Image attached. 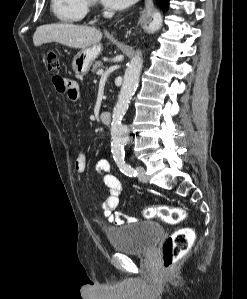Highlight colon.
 Segmentation results:
<instances>
[{
  "mask_svg": "<svg viewBox=\"0 0 247 299\" xmlns=\"http://www.w3.org/2000/svg\"><path fill=\"white\" fill-rule=\"evenodd\" d=\"M45 61L48 70L58 69L59 62L54 51H47ZM145 218H159L168 224H178L184 220L185 211L178 206L156 205L143 210ZM194 241V231L182 227L168 236L162 245L163 264L166 269L173 267L189 250Z\"/></svg>",
  "mask_w": 247,
  "mask_h": 299,
  "instance_id": "1",
  "label": "colon"
}]
</instances>
